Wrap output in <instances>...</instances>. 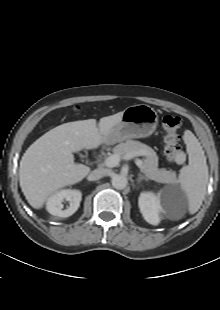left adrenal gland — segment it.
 <instances>
[{"label":"left adrenal gland","mask_w":220,"mask_h":310,"mask_svg":"<svg viewBox=\"0 0 220 310\" xmlns=\"http://www.w3.org/2000/svg\"><path fill=\"white\" fill-rule=\"evenodd\" d=\"M143 180L148 181V179H147L145 176L139 175V177H138V179H137V183H140V182L143 181Z\"/></svg>","instance_id":"left-adrenal-gland-1"}]
</instances>
